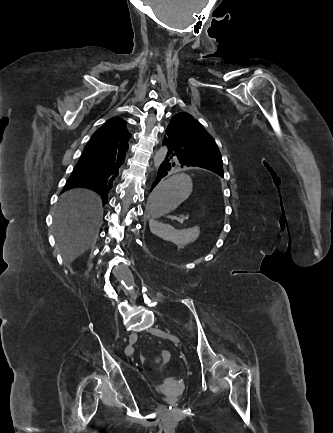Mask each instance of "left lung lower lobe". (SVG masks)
I'll use <instances>...</instances> for the list:
<instances>
[{
	"label": "left lung lower lobe",
	"mask_w": 333,
	"mask_h": 433,
	"mask_svg": "<svg viewBox=\"0 0 333 433\" xmlns=\"http://www.w3.org/2000/svg\"><path fill=\"white\" fill-rule=\"evenodd\" d=\"M163 145H165L167 147V153H166V157L164 159V161L161 163L159 169H158V173L157 176L155 178L154 184L151 187V191L152 189L160 182V180L165 177L170 171L176 170V169H180V168H195L197 167L196 165H194L193 163L184 160L182 158H180L176 153H174L170 146H169V142L167 141V139L164 137L163 140ZM151 208L149 207V210Z\"/></svg>",
	"instance_id": "left-lung-lower-lobe-1"
}]
</instances>
